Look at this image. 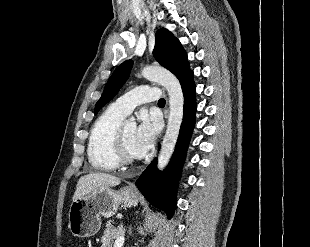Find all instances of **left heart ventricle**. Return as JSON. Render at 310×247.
<instances>
[{
	"mask_svg": "<svg viewBox=\"0 0 310 247\" xmlns=\"http://www.w3.org/2000/svg\"><path fill=\"white\" fill-rule=\"evenodd\" d=\"M136 128L133 125H125L124 126V139L128 152L135 156L133 153V142L135 136Z\"/></svg>",
	"mask_w": 310,
	"mask_h": 247,
	"instance_id": "left-heart-ventricle-1",
	"label": "left heart ventricle"
}]
</instances>
